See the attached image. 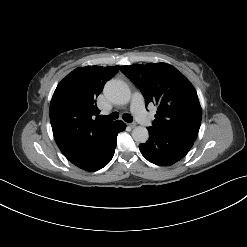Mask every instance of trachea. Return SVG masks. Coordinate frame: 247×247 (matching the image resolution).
<instances>
[{
  "label": "trachea",
  "instance_id": "obj_1",
  "mask_svg": "<svg viewBox=\"0 0 247 247\" xmlns=\"http://www.w3.org/2000/svg\"><path fill=\"white\" fill-rule=\"evenodd\" d=\"M119 117L118 112H113L110 115H99V119L101 120H107V121H112V120H116ZM122 118L124 119V121L131 123L133 121V117L128 114L125 113Z\"/></svg>",
  "mask_w": 247,
  "mask_h": 247
}]
</instances>
